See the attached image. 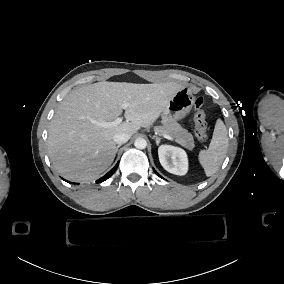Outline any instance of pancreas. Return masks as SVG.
<instances>
[{
	"mask_svg": "<svg viewBox=\"0 0 284 284\" xmlns=\"http://www.w3.org/2000/svg\"><path fill=\"white\" fill-rule=\"evenodd\" d=\"M155 131L159 135L167 134L175 139V141L185 148L192 150L194 148V139L191 133L183 129L176 121L166 118L163 126L155 127Z\"/></svg>",
	"mask_w": 284,
	"mask_h": 284,
	"instance_id": "1",
	"label": "pancreas"
}]
</instances>
